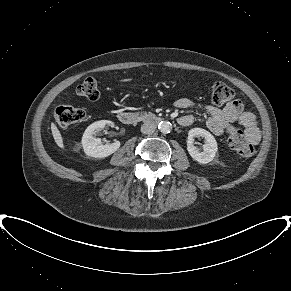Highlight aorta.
Wrapping results in <instances>:
<instances>
[{"mask_svg":"<svg viewBox=\"0 0 291 291\" xmlns=\"http://www.w3.org/2000/svg\"><path fill=\"white\" fill-rule=\"evenodd\" d=\"M158 129L160 130V132L167 134V133H170V131L172 129V125L168 121H161L158 124Z\"/></svg>","mask_w":291,"mask_h":291,"instance_id":"762f6f07","label":"aorta"}]
</instances>
